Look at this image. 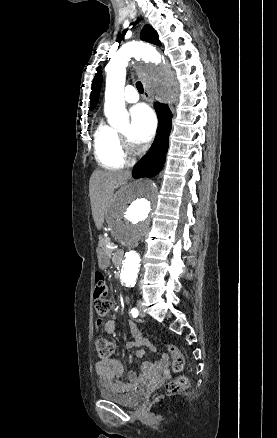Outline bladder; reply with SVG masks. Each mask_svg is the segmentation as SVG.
<instances>
[{
    "instance_id": "31cf9c89",
    "label": "bladder",
    "mask_w": 277,
    "mask_h": 438,
    "mask_svg": "<svg viewBox=\"0 0 277 438\" xmlns=\"http://www.w3.org/2000/svg\"><path fill=\"white\" fill-rule=\"evenodd\" d=\"M98 394L99 397H101L104 401H109L116 405L126 407H135L139 404V401L143 395V389L137 388L123 393L109 388H101L99 389Z\"/></svg>"
}]
</instances>
